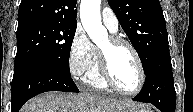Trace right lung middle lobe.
I'll list each match as a JSON object with an SVG mask.
<instances>
[{
    "mask_svg": "<svg viewBox=\"0 0 193 112\" xmlns=\"http://www.w3.org/2000/svg\"><path fill=\"white\" fill-rule=\"evenodd\" d=\"M76 27L39 23L17 29L14 72L30 64L46 63L70 74L69 55Z\"/></svg>",
    "mask_w": 193,
    "mask_h": 112,
    "instance_id": "right-lung-middle-lobe-1",
    "label": "right lung middle lobe"
}]
</instances>
